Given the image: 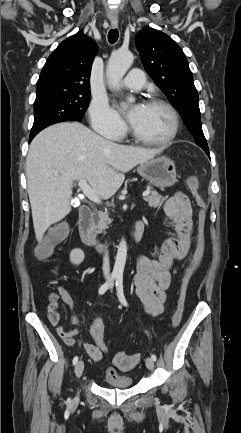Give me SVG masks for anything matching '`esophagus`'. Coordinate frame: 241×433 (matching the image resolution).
<instances>
[{
    "label": "esophagus",
    "mask_w": 241,
    "mask_h": 433,
    "mask_svg": "<svg viewBox=\"0 0 241 433\" xmlns=\"http://www.w3.org/2000/svg\"><path fill=\"white\" fill-rule=\"evenodd\" d=\"M111 26H112L113 28H116V27L118 26V22H117V21H112V22H111Z\"/></svg>",
    "instance_id": "1"
}]
</instances>
